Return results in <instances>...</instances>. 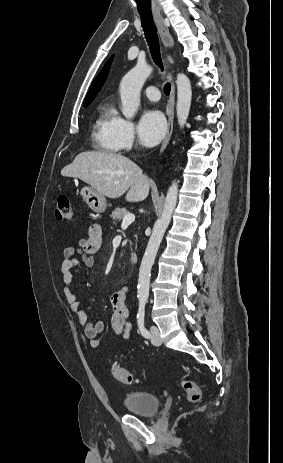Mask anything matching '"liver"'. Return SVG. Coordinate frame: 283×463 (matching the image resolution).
<instances>
[{
  "instance_id": "obj_1",
  "label": "liver",
  "mask_w": 283,
  "mask_h": 463,
  "mask_svg": "<svg viewBox=\"0 0 283 463\" xmlns=\"http://www.w3.org/2000/svg\"><path fill=\"white\" fill-rule=\"evenodd\" d=\"M61 175L79 178L112 199L127 191L128 202H140L149 194V178L136 163L121 154L82 152L61 170Z\"/></svg>"
}]
</instances>
